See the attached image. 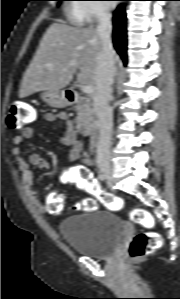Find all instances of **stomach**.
I'll use <instances>...</instances> for the list:
<instances>
[{
	"mask_svg": "<svg viewBox=\"0 0 180 299\" xmlns=\"http://www.w3.org/2000/svg\"><path fill=\"white\" fill-rule=\"evenodd\" d=\"M40 98L46 104L56 108H64L69 104L65 91L63 90L43 91L40 93Z\"/></svg>",
	"mask_w": 180,
	"mask_h": 299,
	"instance_id": "1",
	"label": "stomach"
}]
</instances>
